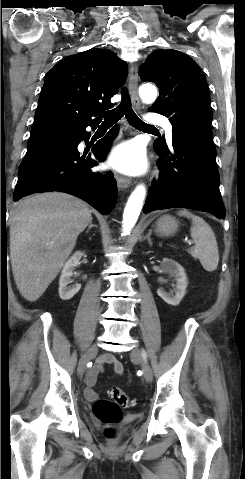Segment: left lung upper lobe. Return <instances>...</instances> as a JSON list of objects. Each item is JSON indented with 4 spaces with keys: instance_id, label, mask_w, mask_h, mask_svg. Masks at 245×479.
I'll return each mask as SVG.
<instances>
[{
    "instance_id": "obj_1",
    "label": "left lung upper lobe",
    "mask_w": 245,
    "mask_h": 479,
    "mask_svg": "<svg viewBox=\"0 0 245 479\" xmlns=\"http://www.w3.org/2000/svg\"><path fill=\"white\" fill-rule=\"evenodd\" d=\"M140 72L142 81L155 82L160 91L149 111L168 117L174 131L210 133L208 87L201 68L191 57L177 50H156L140 66Z\"/></svg>"
}]
</instances>
